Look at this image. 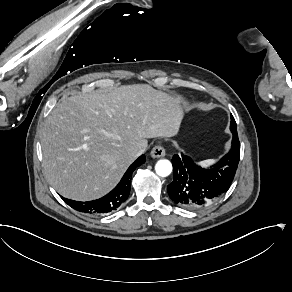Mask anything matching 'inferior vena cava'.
<instances>
[{"mask_svg":"<svg viewBox=\"0 0 292 292\" xmlns=\"http://www.w3.org/2000/svg\"><path fill=\"white\" fill-rule=\"evenodd\" d=\"M147 145L146 146H140L135 149L136 157L140 156L146 151Z\"/></svg>","mask_w":292,"mask_h":292,"instance_id":"obj_1","label":"inferior vena cava"}]
</instances>
